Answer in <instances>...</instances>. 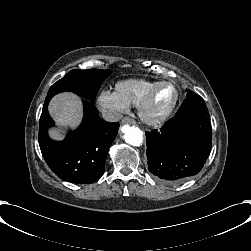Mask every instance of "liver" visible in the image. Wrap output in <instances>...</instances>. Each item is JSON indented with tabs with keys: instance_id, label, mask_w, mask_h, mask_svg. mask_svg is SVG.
<instances>
[{
	"instance_id": "1",
	"label": "liver",
	"mask_w": 251,
	"mask_h": 251,
	"mask_svg": "<svg viewBox=\"0 0 251 251\" xmlns=\"http://www.w3.org/2000/svg\"><path fill=\"white\" fill-rule=\"evenodd\" d=\"M48 112L55 125L47 128V135L55 142L65 140L67 136L65 127L74 132L84 119L83 103L72 91H63L54 95L49 101Z\"/></svg>"
}]
</instances>
